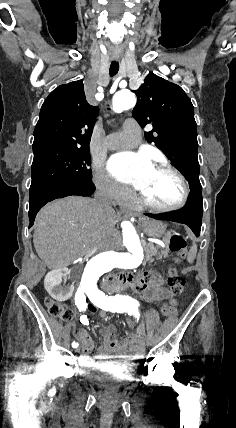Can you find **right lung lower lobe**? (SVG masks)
Instances as JSON below:
<instances>
[{"mask_svg": "<svg viewBox=\"0 0 236 428\" xmlns=\"http://www.w3.org/2000/svg\"><path fill=\"white\" fill-rule=\"evenodd\" d=\"M93 183L65 182L44 186L30 191L29 228L33 225L37 212L47 203L70 195L90 196L95 191Z\"/></svg>", "mask_w": 236, "mask_h": 428, "instance_id": "98d812e1", "label": "right lung lower lobe"}]
</instances>
